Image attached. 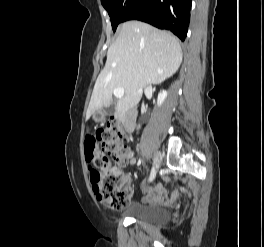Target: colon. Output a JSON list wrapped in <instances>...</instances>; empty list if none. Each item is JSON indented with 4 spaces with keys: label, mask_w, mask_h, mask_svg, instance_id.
I'll return each mask as SVG.
<instances>
[{
    "label": "colon",
    "mask_w": 264,
    "mask_h": 247,
    "mask_svg": "<svg viewBox=\"0 0 264 247\" xmlns=\"http://www.w3.org/2000/svg\"><path fill=\"white\" fill-rule=\"evenodd\" d=\"M123 138L121 124L110 120L95 135L88 136L85 142L86 159L94 165L89 169L93 192L112 210H122L131 201L128 181L120 168Z\"/></svg>",
    "instance_id": "1"
}]
</instances>
